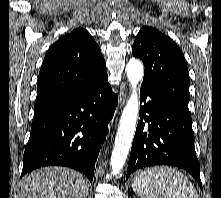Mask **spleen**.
<instances>
[{"label": "spleen", "instance_id": "obj_1", "mask_svg": "<svg viewBox=\"0 0 221 198\" xmlns=\"http://www.w3.org/2000/svg\"><path fill=\"white\" fill-rule=\"evenodd\" d=\"M132 189L140 198H199L184 174L166 166L138 172L133 179Z\"/></svg>", "mask_w": 221, "mask_h": 198}]
</instances>
